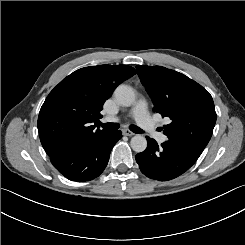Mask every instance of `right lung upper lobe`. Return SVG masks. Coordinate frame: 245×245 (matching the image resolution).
<instances>
[{"label":"right lung upper lobe","instance_id":"1","mask_svg":"<svg viewBox=\"0 0 245 245\" xmlns=\"http://www.w3.org/2000/svg\"><path fill=\"white\" fill-rule=\"evenodd\" d=\"M136 74L127 65H98L76 70L47 96L38 116L40 141L51 156L60 147L107 130H95L105 100Z\"/></svg>","mask_w":245,"mask_h":245}]
</instances>
